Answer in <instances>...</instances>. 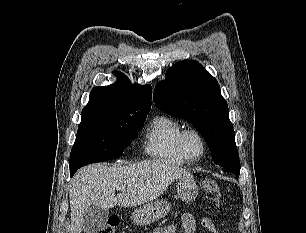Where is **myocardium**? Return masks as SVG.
Wrapping results in <instances>:
<instances>
[{
  "mask_svg": "<svg viewBox=\"0 0 306 233\" xmlns=\"http://www.w3.org/2000/svg\"><path fill=\"white\" fill-rule=\"evenodd\" d=\"M190 135L196 136L201 143V152L196 157L190 156L187 152V149H186V140H187L188 136H190ZM179 148H180V152H181L183 158L186 161L195 162V161L200 160L205 155V153L207 151V144H206V140H205L203 134L199 130H197L195 128H187V129H184L182 131L181 135H180Z\"/></svg>",
  "mask_w": 306,
  "mask_h": 233,
  "instance_id": "obj_1",
  "label": "myocardium"
}]
</instances>
